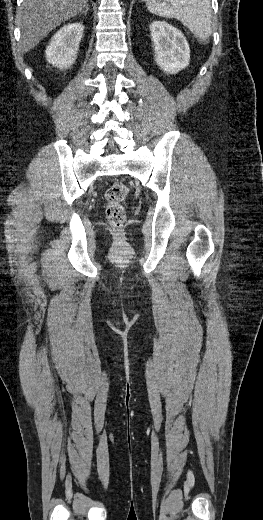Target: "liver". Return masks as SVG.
<instances>
[{"mask_svg":"<svg viewBox=\"0 0 263 520\" xmlns=\"http://www.w3.org/2000/svg\"><path fill=\"white\" fill-rule=\"evenodd\" d=\"M88 7V0H23L18 12L19 47L28 52L53 29Z\"/></svg>","mask_w":263,"mask_h":520,"instance_id":"6515ba94","label":"liver"}]
</instances>
